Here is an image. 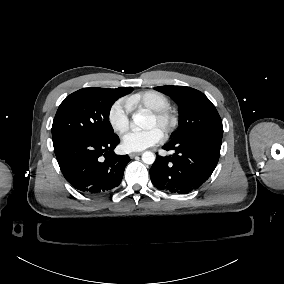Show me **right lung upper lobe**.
Instances as JSON below:
<instances>
[{"instance_id": "cb5924a9", "label": "right lung upper lobe", "mask_w": 284, "mask_h": 284, "mask_svg": "<svg viewBox=\"0 0 284 284\" xmlns=\"http://www.w3.org/2000/svg\"><path fill=\"white\" fill-rule=\"evenodd\" d=\"M131 89H132V87H124V88H117L115 90H117L118 92H121V93L128 94V93H130Z\"/></svg>"}]
</instances>
